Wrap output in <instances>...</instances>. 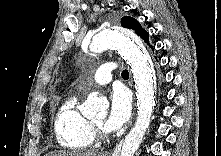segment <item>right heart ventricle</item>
I'll use <instances>...</instances> for the list:
<instances>
[{
  "label": "right heart ventricle",
  "instance_id": "1",
  "mask_svg": "<svg viewBox=\"0 0 221 156\" xmlns=\"http://www.w3.org/2000/svg\"><path fill=\"white\" fill-rule=\"evenodd\" d=\"M58 145L69 150H82L94 141L92 122L78 109L76 96L68 97L59 107L54 123Z\"/></svg>",
  "mask_w": 221,
  "mask_h": 156
}]
</instances>
